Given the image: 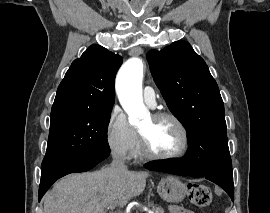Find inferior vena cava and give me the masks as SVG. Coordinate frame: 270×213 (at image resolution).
Segmentation results:
<instances>
[{
  "instance_id": "obj_1",
  "label": "inferior vena cava",
  "mask_w": 270,
  "mask_h": 213,
  "mask_svg": "<svg viewBox=\"0 0 270 213\" xmlns=\"http://www.w3.org/2000/svg\"><path fill=\"white\" fill-rule=\"evenodd\" d=\"M111 168L119 171V172H126L128 171L127 166L124 164L122 160L119 158L113 157V161L111 163Z\"/></svg>"
}]
</instances>
